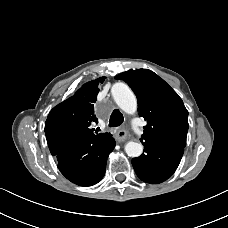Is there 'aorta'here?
I'll return each mask as SVG.
<instances>
[{
    "instance_id": "762f6f07",
    "label": "aorta",
    "mask_w": 228,
    "mask_h": 228,
    "mask_svg": "<svg viewBox=\"0 0 228 228\" xmlns=\"http://www.w3.org/2000/svg\"><path fill=\"white\" fill-rule=\"evenodd\" d=\"M112 96L116 104L127 114H134L137 111V100L134 93L124 83H116L112 87ZM125 152L130 157H139L143 152L141 143L128 142L125 145Z\"/></svg>"
}]
</instances>
